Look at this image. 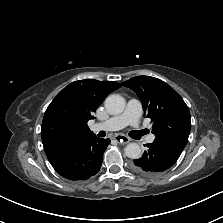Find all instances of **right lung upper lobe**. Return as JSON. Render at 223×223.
<instances>
[{
  "label": "right lung upper lobe",
  "instance_id": "right-lung-upper-lobe-1",
  "mask_svg": "<svg viewBox=\"0 0 223 223\" xmlns=\"http://www.w3.org/2000/svg\"><path fill=\"white\" fill-rule=\"evenodd\" d=\"M113 81L84 79L66 86L48 106L42 122L45 153L52 154L87 141L93 132L87 122L105 97L120 88Z\"/></svg>",
  "mask_w": 223,
  "mask_h": 223
}]
</instances>
